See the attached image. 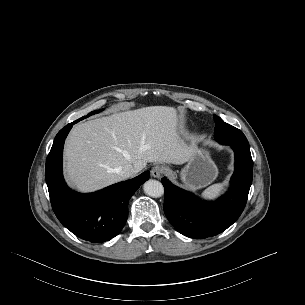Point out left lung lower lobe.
Instances as JSON below:
<instances>
[{"instance_id":"left-lung-lower-lobe-1","label":"left lung lower lobe","mask_w":305,"mask_h":305,"mask_svg":"<svg viewBox=\"0 0 305 305\" xmlns=\"http://www.w3.org/2000/svg\"><path fill=\"white\" fill-rule=\"evenodd\" d=\"M235 171L226 195L214 202L202 201L192 193L161 179L165 189L164 212L181 234L196 239L215 236L230 227L241 215L247 201L253 176V161L249 145L234 142Z\"/></svg>"}]
</instances>
